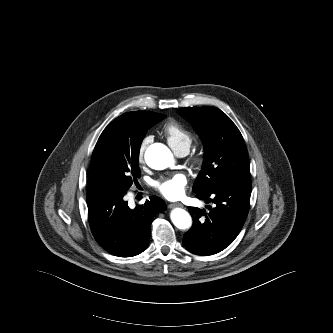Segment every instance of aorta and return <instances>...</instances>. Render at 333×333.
Listing matches in <instances>:
<instances>
[{
    "mask_svg": "<svg viewBox=\"0 0 333 333\" xmlns=\"http://www.w3.org/2000/svg\"><path fill=\"white\" fill-rule=\"evenodd\" d=\"M173 154L168 147L161 143L150 145L145 152V161L149 167L155 170H163L173 163ZM170 218L172 223L182 230L189 229L192 225L190 214L181 208L171 211Z\"/></svg>",
    "mask_w": 333,
    "mask_h": 333,
    "instance_id": "762f6f07",
    "label": "aorta"
}]
</instances>
